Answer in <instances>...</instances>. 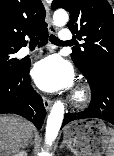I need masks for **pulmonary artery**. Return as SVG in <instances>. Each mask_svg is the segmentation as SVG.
<instances>
[{"label":"pulmonary artery","mask_w":114,"mask_h":156,"mask_svg":"<svg viewBox=\"0 0 114 156\" xmlns=\"http://www.w3.org/2000/svg\"><path fill=\"white\" fill-rule=\"evenodd\" d=\"M72 38V34L68 29H63L60 32V39L64 42H68L70 39ZM33 52H31L28 48H24L21 50L20 54L21 56H27L32 54Z\"/></svg>","instance_id":"pulmonary-artery-1"}]
</instances>
